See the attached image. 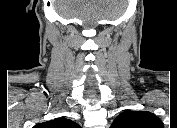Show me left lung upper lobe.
Here are the masks:
<instances>
[{
  "instance_id": "1",
  "label": "left lung upper lobe",
  "mask_w": 177,
  "mask_h": 128,
  "mask_svg": "<svg viewBox=\"0 0 177 128\" xmlns=\"http://www.w3.org/2000/svg\"><path fill=\"white\" fill-rule=\"evenodd\" d=\"M162 122L148 111H125L112 123L111 128H161Z\"/></svg>"
}]
</instances>
